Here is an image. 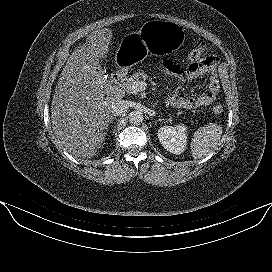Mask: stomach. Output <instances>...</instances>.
<instances>
[{
  "mask_svg": "<svg viewBox=\"0 0 272 272\" xmlns=\"http://www.w3.org/2000/svg\"><path fill=\"white\" fill-rule=\"evenodd\" d=\"M185 41L184 29L175 22L151 20L137 32L124 36L115 55L119 67L130 68L147 53L163 54L174 52Z\"/></svg>",
  "mask_w": 272,
  "mask_h": 272,
  "instance_id": "1",
  "label": "stomach"
}]
</instances>
